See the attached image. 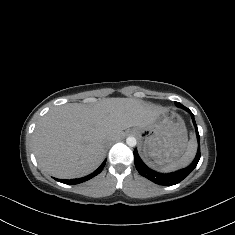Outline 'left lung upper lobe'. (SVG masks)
<instances>
[{"mask_svg": "<svg viewBox=\"0 0 235 235\" xmlns=\"http://www.w3.org/2000/svg\"><path fill=\"white\" fill-rule=\"evenodd\" d=\"M175 105L177 106V107H180V108H183V109H185L186 107L185 106H183L182 104H180L179 102H175Z\"/></svg>", "mask_w": 235, "mask_h": 235, "instance_id": "obj_1", "label": "left lung upper lobe"}]
</instances>
